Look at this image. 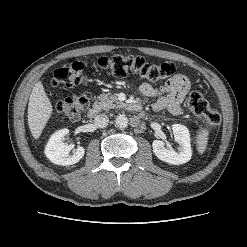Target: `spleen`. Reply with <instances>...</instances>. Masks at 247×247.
Returning a JSON list of instances; mask_svg holds the SVG:
<instances>
[{
	"mask_svg": "<svg viewBox=\"0 0 247 247\" xmlns=\"http://www.w3.org/2000/svg\"><path fill=\"white\" fill-rule=\"evenodd\" d=\"M206 144H207V132H202L201 136H200V140H199V152L203 153L205 148H206Z\"/></svg>",
	"mask_w": 247,
	"mask_h": 247,
	"instance_id": "3e777b00",
	"label": "spleen"
}]
</instances>
